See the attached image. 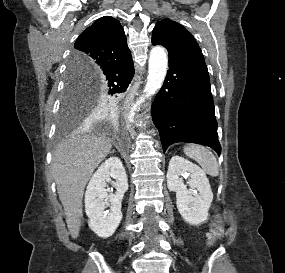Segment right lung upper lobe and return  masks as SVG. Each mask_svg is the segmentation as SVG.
Here are the masks:
<instances>
[{"instance_id": "obj_1", "label": "right lung upper lobe", "mask_w": 285, "mask_h": 273, "mask_svg": "<svg viewBox=\"0 0 285 273\" xmlns=\"http://www.w3.org/2000/svg\"><path fill=\"white\" fill-rule=\"evenodd\" d=\"M131 58L126 36L120 22L103 16L85 29L77 38L69 68L81 77L90 76L105 66ZM104 104H99L98 106Z\"/></svg>"}]
</instances>
